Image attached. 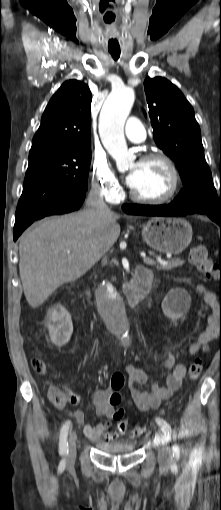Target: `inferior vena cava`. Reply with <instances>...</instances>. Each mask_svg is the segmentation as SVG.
<instances>
[{
  "instance_id": "inferior-vena-cava-1",
  "label": "inferior vena cava",
  "mask_w": 221,
  "mask_h": 510,
  "mask_svg": "<svg viewBox=\"0 0 221 510\" xmlns=\"http://www.w3.org/2000/svg\"><path fill=\"white\" fill-rule=\"evenodd\" d=\"M86 207L95 209L101 215L110 212L109 207L103 200V195L97 189H91L86 200Z\"/></svg>"
}]
</instances>
